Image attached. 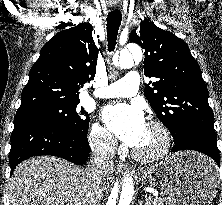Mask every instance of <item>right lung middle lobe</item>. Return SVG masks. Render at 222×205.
I'll list each match as a JSON object with an SVG mask.
<instances>
[{"mask_svg":"<svg viewBox=\"0 0 222 205\" xmlns=\"http://www.w3.org/2000/svg\"><path fill=\"white\" fill-rule=\"evenodd\" d=\"M78 103H47L31 110L17 112L14 121L43 120L65 130L87 135L90 118L83 108L78 107Z\"/></svg>","mask_w":222,"mask_h":205,"instance_id":"dd1d6c3e","label":"right lung middle lobe"}]
</instances>
